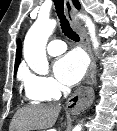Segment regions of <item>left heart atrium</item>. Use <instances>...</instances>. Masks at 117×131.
<instances>
[{
  "instance_id": "left-heart-atrium-1",
  "label": "left heart atrium",
  "mask_w": 117,
  "mask_h": 131,
  "mask_svg": "<svg viewBox=\"0 0 117 131\" xmlns=\"http://www.w3.org/2000/svg\"><path fill=\"white\" fill-rule=\"evenodd\" d=\"M86 66L84 55L79 51H71L56 61L54 72L63 84L71 86L82 79Z\"/></svg>"
}]
</instances>
